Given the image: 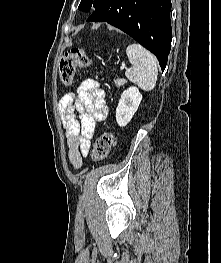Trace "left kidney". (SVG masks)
I'll list each match as a JSON object with an SVG mask.
<instances>
[{
	"label": "left kidney",
	"instance_id": "left-kidney-1",
	"mask_svg": "<svg viewBox=\"0 0 221 263\" xmlns=\"http://www.w3.org/2000/svg\"><path fill=\"white\" fill-rule=\"evenodd\" d=\"M142 94L137 87H129L125 90L116 108V121L120 127L126 126L138 110Z\"/></svg>",
	"mask_w": 221,
	"mask_h": 263
}]
</instances>
